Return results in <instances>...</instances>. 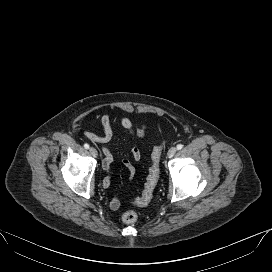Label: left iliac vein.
I'll list each match as a JSON object with an SVG mask.
<instances>
[{"mask_svg": "<svg viewBox=\"0 0 272 272\" xmlns=\"http://www.w3.org/2000/svg\"><path fill=\"white\" fill-rule=\"evenodd\" d=\"M176 152H177V148L176 147H171L169 149L168 153H167L168 158H172L175 155Z\"/></svg>", "mask_w": 272, "mask_h": 272, "instance_id": "obj_1", "label": "left iliac vein"}]
</instances>
